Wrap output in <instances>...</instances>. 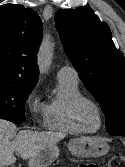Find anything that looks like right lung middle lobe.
Returning a JSON list of instances; mask_svg holds the SVG:
<instances>
[{
	"label": "right lung middle lobe",
	"mask_w": 125,
	"mask_h": 167,
	"mask_svg": "<svg viewBox=\"0 0 125 167\" xmlns=\"http://www.w3.org/2000/svg\"><path fill=\"white\" fill-rule=\"evenodd\" d=\"M33 88L13 87L0 84V115L17 121L25 120V101Z\"/></svg>",
	"instance_id": "obj_1"
}]
</instances>
